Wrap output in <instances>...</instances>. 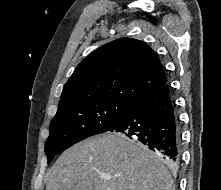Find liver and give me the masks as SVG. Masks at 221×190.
I'll use <instances>...</instances> for the list:
<instances>
[{"mask_svg":"<svg viewBox=\"0 0 221 190\" xmlns=\"http://www.w3.org/2000/svg\"><path fill=\"white\" fill-rule=\"evenodd\" d=\"M173 184L158 159L119 133L77 143L46 174V190H174Z\"/></svg>","mask_w":221,"mask_h":190,"instance_id":"1","label":"liver"}]
</instances>
